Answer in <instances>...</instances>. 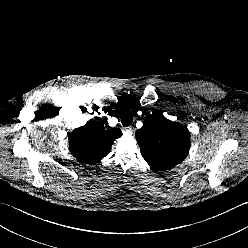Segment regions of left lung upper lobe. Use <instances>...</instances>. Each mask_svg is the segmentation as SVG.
<instances>
[{"label":"left lung upper lobe","mask_w":248,"mask_h":248,"mask_svg":"<svg viewBox=\"0 0 248 248\" xmlns=\"http://www.w3.org/2000/svg\"><path fill=\"white\" fill-rule=\"evenodd\" d=\"M143 158L156 171L174 167L185 159L190 149L188 129L170 121L161 113L148 115L136 131Z\"/></svg>","instance_id":"left-lung-upper-lobe-1"}]
</instances>
